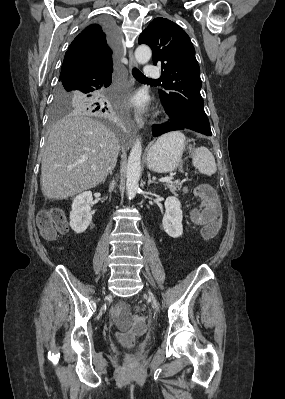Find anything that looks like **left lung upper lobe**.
Wrapping results in <instances>:
<instances>
[{"label": "left lung upper lobe", "mask_w": 285, "mask_h": 399, "mask_svg": "<svg viewBox=\"0 0 285 399\" xmlns=\"http://www.w3.org/2000/svg\"><path fill=\"white\" fill-rule=\"evenodd\" d=\"M138 41L149 45L154 65H161L165 90H159V95L172 119L199 133L212 135L200 94V68L187 33L174 22L158 17L140 34Z\"/></svg>", "instance_id": "1"}]
</instances>
